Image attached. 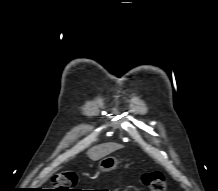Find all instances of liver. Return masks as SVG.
<instances>
[{
    "label": "liver",
    "mask_w": 218,
    "mask_h": 191,
    "mask_svg": "<svg viewBox=\"0 0 218 191\" xmlns=\"http://www.w3.org/2000/svg\"><path fill=\"white\" fill-rule=\"evenodd\" d=\"M123 146L116 143H105L90 148L87 152L88 157L93 160H99L108 154L121 149Z\"/></svg>",
    "instance_id": "6515ba94"
}]
</instances>
